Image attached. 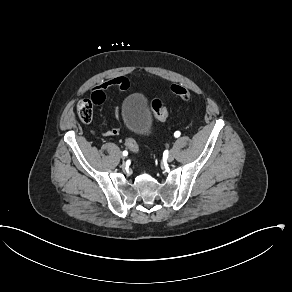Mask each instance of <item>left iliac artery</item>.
Here are the masks:
<instances>
[{
    "label": "left iliac artery",
    "mask_w": 292,
    "mask_h": 292,
    "mask_svg": "<svg viewBox=\"0 0 292 292\" xmlns=\"http://www.w3.org/2000/svg\"><path fill=\"white\" fill-rule=\"evenodd\" d=\"M179 136H180V132L179 131L175 132V137H179Z\"/></svg>",
    "instance_id": "obj_1"
}]
</instances>
